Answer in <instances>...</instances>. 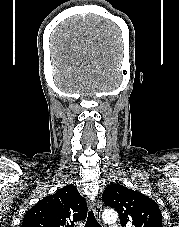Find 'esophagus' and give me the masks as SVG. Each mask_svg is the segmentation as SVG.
<instances>
[{
	"mask_svg": "<svg viewBox=\"0 0 179 227\" xmlns=\"http://www.w3.org/2000/svg\"><path fill=\"white\" fill-rule=\"evenodd\" d=\"M94 212H95L97 220L99 222H101L102 221V219H101L102 206H101V203L98 200L95 201V203H94Z\"/></svg>",
	"mask_w": 179,
	"mask_h": 227,
	"instance_id": "obj_1",
	"label": "esophagus"
}]
</instances>
